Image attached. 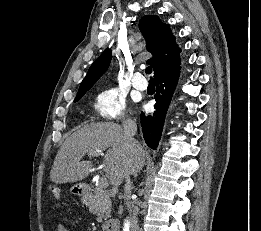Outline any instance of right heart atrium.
<instances>
[{
    "mask_svg": "<svg viewBox=\"0 0 261 231\" xmlns=\"http://www.w3.org/2000/svg\"><path fill=\"white\" fill-rule=\"evenodd\" d=\"M98 118L106 121L126 120V101L115 88H105L99 91L93 102Z\"/></svg>",
    "mask_w": 261,
    "mask_h": 231,
    "instance_id": "right-heart-atrium-1",
    "label": "right heart atrium"
}]
</instances>
